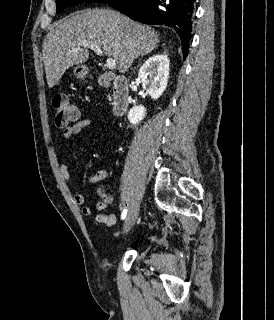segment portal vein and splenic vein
<instances>
[{
    "mask_svg": "<svg viewBox=\"0 0 274 320\" xmlns=\"http://www.w3.org/2000/svg\"><path fill=\"white\" fill-rule=\"evenodd\" d=\"M82 46H86V48H90V50H94L97 56H103V52L101 48H98L96 44H89V42H82ZM105 66H107L108 70H114V68H116V60H113V58H107Z\"/></svg>",
    "mask_w": 274,
    "mask_h": 320,
    "instance_id": "obj_1",
    "label": "portal vein and splenic vein"
}]
</instances>
